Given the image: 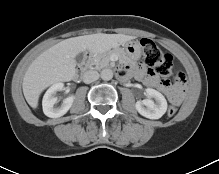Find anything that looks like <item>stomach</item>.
<instances>
[{
  "label": "stomach",
  "instance_id": "obj_1",
  "mask_svg": "<svg viewBox=\"0 0 219 174\" xmlns=\"http://www.w3.org/2000/svg\"><path fill=\"white\" fill-rule=\"evenodd\" d=\"M121 51L131 60H138L141 57L142 47L138 41H129L123 45Z\"/></svg>",
  "mask_w": 219,
  "mask_h": 174
}]
</instances>
